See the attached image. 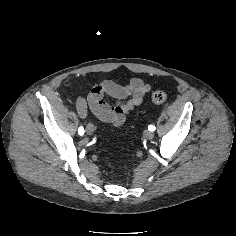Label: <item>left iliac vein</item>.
<instances>
[{
    "instance_id": "left-iliac-vein-1",
    "label": "left iliac vein",
    "mask_w": 236,
    "mask_h": 236,
    "mask_svg": "<svg viewBox=\"0 0 236 236\" xmlns=\"http://www.w3.org/2000/svg\"><path fill=\"white\" fill-rule=\"evenodd\" d=\"M143 136H144L145 139L151 140L154 137V133L151 132V131L146 130V131H144Z\"/></svg>"
}]
</instances>
